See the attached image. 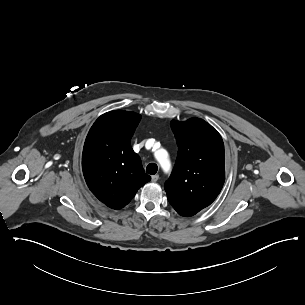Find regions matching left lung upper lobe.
<instances>
[{"label":"left lung upper lobe","instance_id":"obj_1","mask_svg":"<svg viewBox=\"0 0 305 305\" xmlns=\"http://www.w3.org/2000/svg\"><path fill=\"white\" fill-rule=\"evenodd\" d=\"M178 156L165 191L182 216H193L209 206L225 181L224 144L220 134L199 118L171 121Z\"/></svg>","mask_w":305,"mask_h":305}]
</instances>
